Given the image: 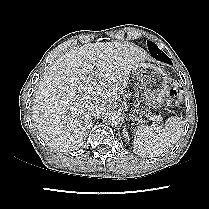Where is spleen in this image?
I'll return each instance as SVG.
<instances>
[{"mask_svg": "<svg viewBox=\"0 0 209 209\" xmlns=\"http://www.w3.org/2000/svg\"><path fill=\"white\" fill-rule=\"evenodd\" d=\"M184 126V119L178 116L169 118L164 126L143 125L135 132L133 151L142 157L159 156L177 143Z\"/></svg>", "mask_w": 209, "mask_h": 209, "instance_id": "obj_1", "label": "spleen"}]
</instances>
